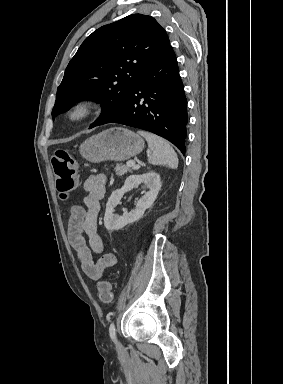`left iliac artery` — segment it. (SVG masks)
Here are the masks:
<instances>
[{"mask_svg":"<svg viewBox=\"0 0 283 384\" xmlns=\"http://www.w3.org/2000/svg\"><path fill=\"white\" fill-rule=\"evenodd\" d=\"M109 334L111 339L115 342L116 341V330H115V325L112 322L109 326Z\"/></svg>","mask_w":283,"mask_h":384,"instance_id":"44dca946","label":"left iliac artery"}]
</instances>
